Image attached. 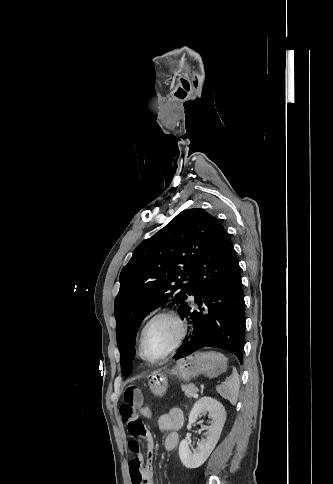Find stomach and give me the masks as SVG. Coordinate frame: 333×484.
Returning a JSON list of instances; mask_svg holds the SVG:
<instances>
[{"label":"stomach","instance_id":"0dacf381","mask_svg":"<svg viewBox=\"0 0 333 484\" xmlns=\"http://www.w3.org/2000/svg\"><path fill=\"white\" fill-rule=\"evenodd\" d=\"M227 369V359L217 352H196L179 358L172 368H160L153 371L149 376V387L152 393L162 397L168 386V375L177 377L182 381H190L198 375L209 378L218 377Z\"/></svg>","mask_w":333,"mask_h":484}]
</instances>
